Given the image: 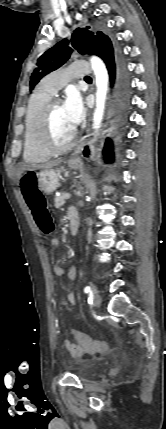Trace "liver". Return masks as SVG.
Instances as JSON below:
<instances>
[{"instance_id": "6515ba94", "label": "liver", "mask_w": 166, "mask_h": 429, "mask_svg": "<svg viewBox=\"0 0 166 429\" xmlns=\"http://www.w3.org/2000/svg\"><path fill=\"white\" fill-rule=\"evenodd\" d=\"M62 162L61 159L58 160H54L51 162H48L46 164H42V165H28V164H24L22 166H20V168L18 169L17 175L18 178L21 177V175L28 170H38V169H42V170H46V169H51L54 166H58L60 163Z\"/></svg>"}]
</instances>
